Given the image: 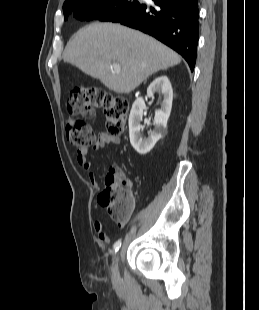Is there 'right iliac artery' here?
I'll use <instances>...</instances> for the list:
<instances>
[{
  "label": "right iliac artery",
  "instance_id": "obj_1",
  "mask_svg": "<svg viewBox=\"0 0 259 310\" xmlns=\"http://www.w3.org/2000/svg\"><path fill=\"white\" fill-rule=\"evenodd\" d=\"M120 247H121V240H118V241L115 242V244L113 246L114 253H116L119 250Z\"/></svg>",
  "mask_w": 259,
  "mask_h": 310
}]
</instances>
